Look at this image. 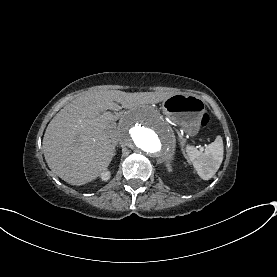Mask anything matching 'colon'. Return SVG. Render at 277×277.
I'll return each instance as SVG.
<instances>
[{
  "label": "colon",
  "instance_id": "1",
  "mask_svg": "<svg viewBox=\"0 0 277 277\" xmlns=\"http://www.w3.org/2000/svg\"><path fill=\"white\" fill-rule=\"evenodd\" d=\"M208 122H209V118H208V116L206 114H204L202 116V119H201V125L202 126H206L208 124Z\"/></svg>",
  "mask_w": 277,
  "mask_h": 277
}]
</instances>
